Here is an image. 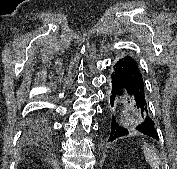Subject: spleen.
<instances>
[{"label": "spleen", "instance_id": "1", "mask_svg": "<svg viewBox=\"0 0 177 169\" xmlns=\"http://www.w3.org/2000/svg\"><path fill=\"white\" fill-rule=\"evenodd\" d=\"M143 151L146 161L149 163L152 169L160 168V159L157 155V151L154 147H150L147 144L143 145Z\"/></svg>", "mask_w": 177, "mask_h": 169}]
</instances>
